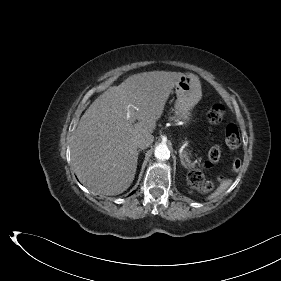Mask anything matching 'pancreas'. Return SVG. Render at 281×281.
Returning <instances> with one entry per match:
<instances>
[{
  "label": "pancreas",
  "mask_w": 281,
  "mask_h": 281,
  "mask_svg": "<svg viewBox=\"0 0 281 281\" xmlns=\"http://www.w3.org/2000/svg\"><path fill=\"white\" fill-rule=\"evenodd\" d=\"M171 121H178V119L176 118V117H170L169 118ZM184 158H185V160H186V162L188 163V165L189 166H191V167H194V164L193 163H191V161L189 160V158H188V153H184Z\"/></svg>",
  "instance_id": "pancreas-1"
}]
</instances>
